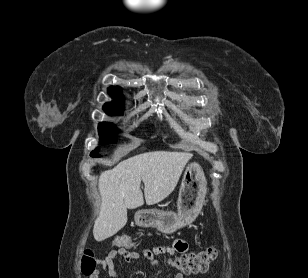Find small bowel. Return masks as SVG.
<instances>
[{"label":"small bowel","instance_id":"obj_1","mask_svg":"<svg viewBox=\"0 0 308 278\" xmlns=\"http://www.w3.org/2000/svg\"><path fill=\"white\" fill-rule=\"evenodd\" d=\"M188 250V243L184 239H176L171 244H156L152 248H145L141 251H128L122 247L111 250L103 260H100V264L107 272L109 278H118V275L114 268V260L121 258L128 263H133L141 258L148 259L155 264V257L157 255H170L175 256L177 254H183ZM98 273L94 274L91 278H98ZM175 278H185L182 273H177Z\"/></svg>","mask_w":308,"mask_h":278}]
</instances>
